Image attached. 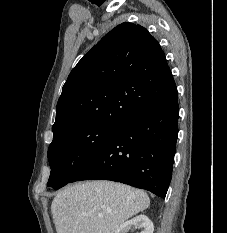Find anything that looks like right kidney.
Segmentation results:
<instances>
[{
	"label": "right kidney",
	"instance_id": "right-kidney-1",
	"mask_svg": "<svg viewBox=\"0 0 227 233\" xmlns=\"http://www.w3.org/2000/svg\"><path fill=\"white\" fill-rule=\"evenodd\" d=\"M131 228L141 229L140 233H153L154 231L152 221L146 215L141 214L120 225L115 233H127Z\"/></svg>",
	"mask_w": 227,
	"mask_h": 233
}]
</instances>
